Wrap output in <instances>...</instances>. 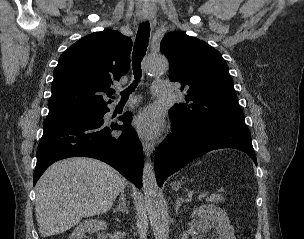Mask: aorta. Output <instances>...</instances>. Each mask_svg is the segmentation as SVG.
I'll use <instances>...</instances> for the list:
<instances>
[{"mask_svg":"<svg viewBox=\"0 0 304 239\" xmlns=\"http://www.w3.org/2000/svg\"><path fill=\"white\" fill-rule=\"evenodd\" d=\"M169 68L163 55H149L144 62V72L149 76L162 75ZM145 205L155 239H168L169 216L156 182L151 161L146 160L142 175Z\"/></svg>","mask_w":304,"mask_h":239,"instance_id":"762f6f07","label":"aorta"}]
</instances>
